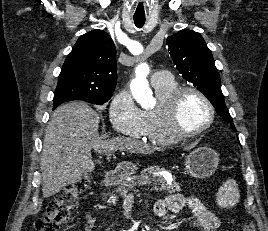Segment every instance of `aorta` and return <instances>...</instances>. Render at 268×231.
Returning a JSON list of instances; mask_svg holds the SVG:
<instances>
[{
    "mask_svg": "<svg viewBox=\"0 0 268 231\" xmlns=\"http://www.w3.org/2000/svg\"><path fill=\"white\" fill-rule=\"evenodd\" d=\"M148 73L149 67L147 65L139 67L130 85L133 97L143 108H149L153 105L152 91L147 80Z\"/></svg>",
    "mask_w": 268,
    "mask_h": 231,
    "instance_id": "762f6f07",
    "label": "aorta"
}]
</instances>
